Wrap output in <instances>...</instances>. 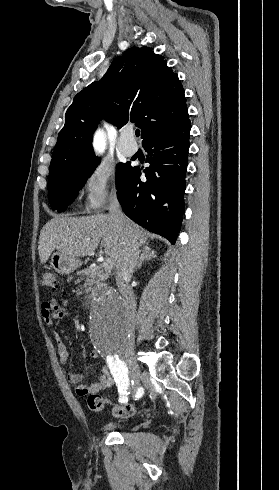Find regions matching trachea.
<instances>
[{
	"mask_svg": "<svg viewBox=\"0 0 279 490\" xmlns=\"http://www.w3.org/2000/svg\"><path fill=\"white\" fill-rule=\"evenodd\" d=\"M135 135H136V137H139V135H140V130H136V131H135Z\"/></svg>",
	"mask_w": 279,
	"mask_h": 490,
	"instance_id": "trachea-1",
	"label": "trachea"
}]
</instances>
